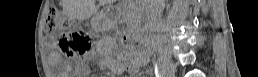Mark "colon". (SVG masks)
Wrapping results in <instances>:
<instances>
[{
    "label": "colon",
    "instance_id": "obj_1",
    "mask_svg": "<svg viewBox=\"0 0 258 77\" xmlns=\"http://www.w3.org/2000/svg\"><path fill=\"white\" fill-rule=\"evenodd\" d=\"M68 26L69 22L66 20H60L56 11H49L45 22V29L47 32L54 33L67 28ZM59 44L63 51L81 54L89 50L91 46V37L85 32L73 31L64 37H61ZM131 48L133 53L136 54L145 52L147 46L144 41L140 39L134 40Z\"/></svg>",
    "mask_w": 258,
    "mask_h": 77
}]
</instances>
